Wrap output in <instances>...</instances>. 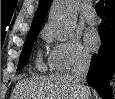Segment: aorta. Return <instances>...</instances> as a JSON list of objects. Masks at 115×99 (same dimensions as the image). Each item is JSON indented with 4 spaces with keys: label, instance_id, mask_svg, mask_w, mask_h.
Wrapping results in <instances>:
<instances>
[{
    "label": "aorta",
    "instance_id": "aorta-1",
    "mask_svg": "<svg viewBox=\"0 0 115 99\" xmlns=\"http://www.w3.org/2000/svg\"><path fill=\"white\" fill-rule=\"evenodd\" d=\"M78 6L73 1L57 0L53 3L49 24L51 31L61 40L69 38L77 21Z\"/></svg>",
    "mask_w": 115,
    "mask_h": 99
}]
</instances>
